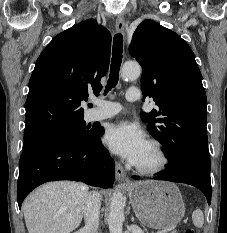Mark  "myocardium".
<instances>
[{
  "label": "myocardium",
  "instance_id": "1",
  "mask_svg": "<svg viewBox=\"0 0 227 233\" xmlns=\"http://www.w3.org/2000/svg\"><path fill=\"white\" fill-rule=\"evenodd\" d=\"M148 144L156 151L158 162L154 166L144 167L134 164L133 167L136 172L145 176H154L163 172L169 164V156L161 142L157 140H149Z\"/></svg>",
  "mask_w": 227,
  "mask_h": 233
}]
</instances>
